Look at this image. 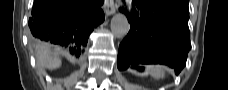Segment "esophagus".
Segmentation results:
<instances>
[{"mask_svg":"<svg viewBox=\"0 0 228 90\" xmlns=\"http://www.w3.org/2000/svg\"><path fill=\"white\" fill-rule=\"evenodd\" d=\"M104 11L106 16L113 15L116 12V6L113 0H105Z\"/></svg>","mask_w":228,"mask_h":90,"instance_id":"obj_1","label":"esophagus"}]
</instances>
